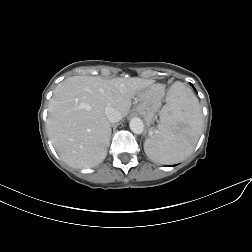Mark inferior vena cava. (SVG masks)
Here are the masks:
<instances>
[{
  "label": "inferior vena cava",
  "mask_w": 252,
  "mask_h": 252,
  "mask_svg": "<svg viewBox=\"0 0 252 252\" xmlns=\"http://www.w3.org/2000/svg\"><path fill=\"white\" fill-rule=\"evenodd\" d=\"M105 114L109 122L111 123L119 122L122 119L121 113L115 108L110 107V106L105 107Z\"/></svg>",
  "instance_id": "inferior-vena-cava-1"
}]
</instances>
